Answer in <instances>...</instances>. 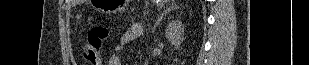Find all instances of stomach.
I'll use <instances>...</instances> for the list:
<instances>
[{
	"label": "stomach",
	"instance_id": "obj_1",
	"mask_svg": "<svg viewBox=\"0 0 309 65\" xmlns=\"http://www.w3.org/2000/svg\"><path fill=\"white\" fill-rule=\"evenodd\" d=\"M92 2H96L98 4V11L102 13L112 14L124 10L127 0H99Z\"/></svg>",
	"mask_w": 309,
	"mask_h": 65
}]
</instances>
